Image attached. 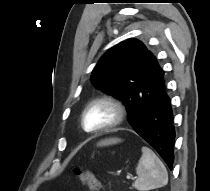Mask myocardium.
Instances as JSON below:
<instances>
[{"instance_id":"obj_1","label":"myocardium","mask_w":210,"mask_h":191,"mask_svg":"<svg viewBox=\"0 0 210 191\" xmlns=\"http://www.w3.org/2000/svg\"><path fill=\"white\" fill-rule=\"evenodd\" d=\"M97 104L109 105L115 112V118L111 123H109L101 128L94 129V130H88V129H86V127L84 125L85 114L90 107L97 105ZM126 117H127V109H126L124 103L114 96L104 95V96H100V97L93 99L84 107V109L82 110V113L80 115V125L86 133L100 134V133H105V132L116 129L117 127H119L120 125H122L124 123V121L126 120Z\"/></svg>"}]
</instances>
